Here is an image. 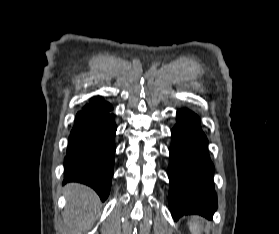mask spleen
<instances>
[{"instance_id": "obj_1", "label": "spleen", "mask_w": 279, "mask_h": 234, "mask_svg": "<svg viewBox=\"0 0 279 234\" xmlns=\"http://www.w3.org/2000/svg\"><path fill=\"white\" fill-rule=\"evenodd\" d=\"M189 229L192 234H201L202 227L200 225V222L197 218H193L189 222Z\"/></svg>"}]
</instances>
